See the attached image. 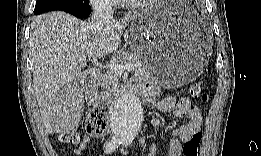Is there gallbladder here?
I'll use <instances>...</instances> for the list:
<instances>
[{
    "label": "gallbladder",
    "mask_w": 261,
    "mask_h": 156,
    "mask_svg": "<svg viewBox=\"0 0 261 156\" xmlns=\"http://www.w3.org/2000/svg\"><path fill=\"white\" fill-rule=\"evenodd\" d=\"M69 87H78L73 84L67 85ZM58 94L59 101L53 104L52 113H50L51 127H54L58 132H65L72 130L79 124L83 118L84 96H82L81 89L66 88Z\"/></svg>",
    "instance_id": "bac80fb5"
}]
</instances>
